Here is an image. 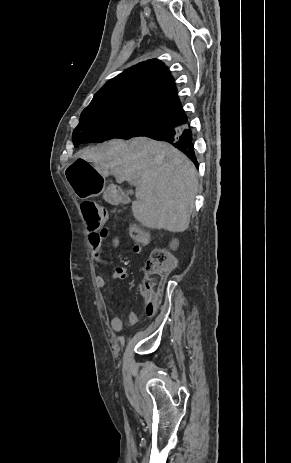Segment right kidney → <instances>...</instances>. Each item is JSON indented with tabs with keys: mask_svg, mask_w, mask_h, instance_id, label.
I'll return each instance as SVG.
<instances>
[{
	"mask_svg": "<svg viewBox=\"0 0 291 463\" xmlns=\"http://www.w3.org/2000/svg\"><path fill=\"white\" fill-rule=\"evenodd\" d=\"M177 246H178V241L175 239V240H173L172 243L170 244V247H171L172 249H174V248H176Z\"/></svg>",
	"mask_w": 291,
	"mask_h": 463,
	"instance_id": "obj_1",
	"label": "right kidney"
}]
</instances>
